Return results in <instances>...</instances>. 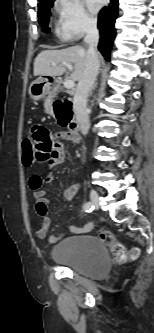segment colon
Wrapping results in <instances>:
<instances>
[{
  "label": "colon",
  "instance_id": "5ec220e1",
  "mask_svg": "<svg viewBox=\"0 0 154 333\" xmlns=\"http://www.w3.org/2000/svg\"><path fill=\"white\" fill-rule=\"evenodd\" d=\"M54 110L60 123L68 127L71 119L69 102L57 100L54 103ZM35 160L34 142L31 137H26L22 142V161L26 166H30ZM99 238L110 249L117 262H127L135 259L139 254L138 249L127 250L126 247L116 239L115 235L108 230H101L99 232Z\"/></svg>",
  "mask_w": 154,
  "mask_h": 333
}]
</instances>
